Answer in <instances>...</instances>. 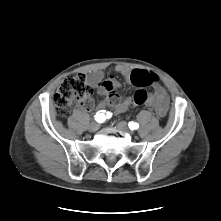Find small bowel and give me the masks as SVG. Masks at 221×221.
<instances>
[{"mask_svg": "<svg viewBox=\"0 0 221 221\" xmlns=\"http://www.w3.org/2000/svg\"><path fill=\"white\" fill-rule=\"evenodd\" d=\"M116 72L122 74L126 78L136 85L131 80V74L134 70H131L125 66H117ZM142 72H149L141 69H135ZM88 83L94 88H98L105 98L99 103V109H105L112 107L117 113L125 112L131 105L132 99L130 97H121L116 93V89L120 86V83L113 77L103 80V73L101 71H93L88 76ZM153 91L146 101V106L152 108L158 116L164 117L167 114L169 106V96L166 90L159 84L152 83Z\"/></svg>", "mask_w": 221, "mask_h": 221, "instance_id": "obj_1", "label": "small bowel"}]
</instances>
